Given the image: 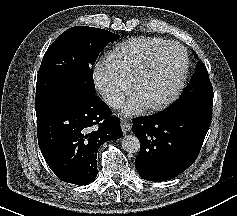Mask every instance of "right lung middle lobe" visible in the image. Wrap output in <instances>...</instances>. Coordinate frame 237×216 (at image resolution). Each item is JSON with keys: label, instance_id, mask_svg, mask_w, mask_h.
<instances>
[{"label": "right lung middle lobe", "instance_id": "1", "mask_svg": "<svg viewBox=\"0 0 237 216\" xmlns=\"http://www.w3.org/2000/svg\"><path fill=\"white\" fill-rule=\"evenodd\" d=\"M117 34L75 26L62 33L47 49L37 75L36 111L73 91L95 95L93 65L99 52Z\"/></svg>", "mask_w": 237, "mask_h": 216}]
</instances>
